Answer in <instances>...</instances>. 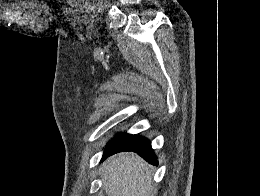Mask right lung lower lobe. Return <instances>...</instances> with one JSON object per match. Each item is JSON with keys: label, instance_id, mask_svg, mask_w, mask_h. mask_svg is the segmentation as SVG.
<instances>
[{"label": "right lung lower lobe", "instance_id": "1", "mask_svg": "<svg viewBox=\"0 0 260 196\" xmlns=\"http://www.w3.org/2000/svg\"><path fill=\"white\" fill-rule=\"evenodd\" d=\"M123 151L136 152L138 155L143 157L149 163L158 164L157 157L151 148L150 141L139 135L132 136L126 142H124L123 144H121L117 147L105 149L103 159H105L106 157H108L112 154H115L118 152H123Z\"/></svg>", "mask_w": 260, "mask_h": 196}]
</instances>
